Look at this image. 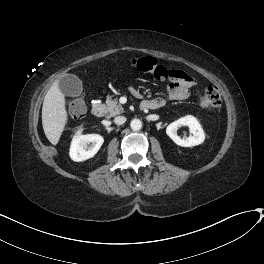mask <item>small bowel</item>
<instances>
[{
  "mask_svg": "<svg viewBox=\"0 0 264 264\" xmlns=\"http://www.w3.org/2000/svg\"><path fill=\"white\" fill-rule=\"evenodd\" d=\"M172 77L168 81V98L181 100L189 95L191 87L194 85L190 76L186 75L182 70H173ZM131 93L141 98L142 95L138 90L132 89ZM168 98L157 97L152 99H146L141 103V106H146L147 110H156L163 107L166 104Z\"/></svg>",
  "mask_w": 264,
  "mask_h": 264,
  "instance_id": "small-bowel-1",
  "label": "small bowel"
}]
</instances>
